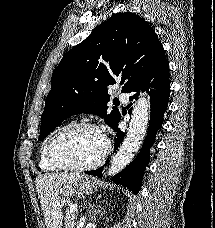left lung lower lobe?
<instances>
[{"label": "left lung lower lobe", "mask_w": 215, "mask_h": 228, "mask_svg": "<svg viewBox=\"0 0 215 228\" xmlns=\"http://www.w3.org/2000/svg\"><path fill=\"white\" fill-rule=\"evenodd\" d=\"M144 89L150 96L151 116L145 142L138 156L124 170L115 175L111 180L128 187L137 194L140 190L144 170L149 162V149L155 142V136L162 126L163 116L168 106L170 93L169 65L165 57V50L162 48L144 77L130 90L132 94L130 101L137 99L140 90ZM117 138L114 143V151L119 147L124 138V133L118 128L114 129ZM104 166L97 170L86 171L89 175L102 177Z\"/></svg>", "instance_id": "0a47b994"}]
</instances>
